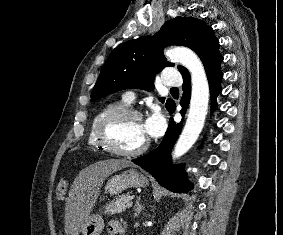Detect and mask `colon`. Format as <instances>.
I'll return each mask as SVG.
<instances>
[{"mask_svg":"<svg viewBox=\"0 0 283 235\" xmlns=\"http://www.w3.org/2000/svg\"><path fill=\"white\" fill-rule=\"evenodd\" d=\"M67 185L68 184H67V181L65 179H61L57 183L55 194H56V197L58 199L62 198L65 195V193L67 191Z\"/></svg>","mask_w":283,"mask_h":235,"instance_id":"1","label":"colon"}]
</instances>
